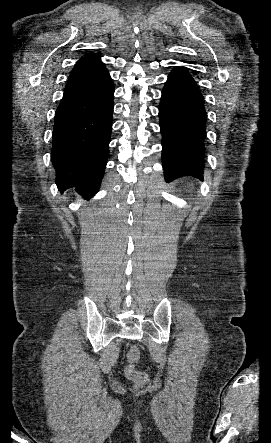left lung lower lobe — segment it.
Here are the masks:
<instances>
[{
    "label": "left lung lower lobe",
    "instance_id": "0a47b994",
    "mask_svg": "<svg viewBox=\"0 0 271 443\" xmlns=\"http://www.w3.org/2000/svg\"><path fill=\"white\" fill-rule=\"evenodd\" d=\"M159 119L165 179L193 176L203 180L207 114L204 98L187 68L175 67L169 74Z\"/></svg>",
    "mask_w": 271,
    "mask_h": 443
}]
</instances>
